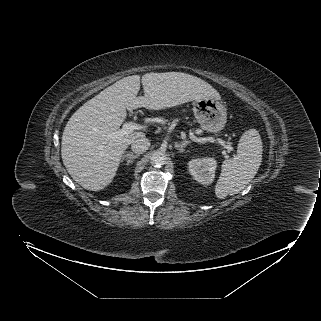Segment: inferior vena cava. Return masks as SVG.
<instances>
[{"mask_svg": "<svg viewBox=\"0 0 321 321\" xmlns=\"http://www.w3.org/2000/svg\"><path fill=\"white\" fill-rule=\"evenodd\" d=\"M150 147V141L147 138H138L131 144V149L137 154L146 152Z\"/></svg>", "mask_w": 321, "mask_h": 321, "instance_id": "602c4592", "label": "inferior vena cava"}]
</instances>
